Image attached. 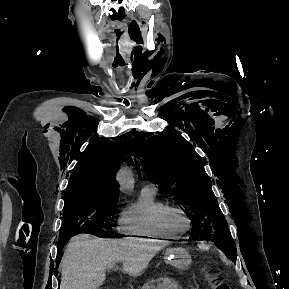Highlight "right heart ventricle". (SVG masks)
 <instances>
[{
  "mask_svg": "<svg viewBox=\"0 0 289 289\" xmlns=\"http://www.w3.org/2000/svg\"><path fill=\"white\" fill-rule=\"evenodd\" d=\"M165 204L158 197L157 190L142 189L138 200L123 209L120 216L121 230L127 235L173 238L157 220V214Z\"/></svg>",
  "mask_w": 289,
  "mask_h": 289,
  "instance_id": "obj_1",
  "label": "right heart ventricle"
}]
</instances>
